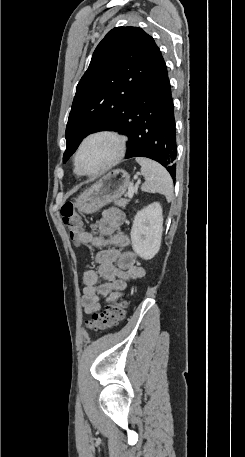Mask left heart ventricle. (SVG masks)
<instances>
[{
  "mask_svg": "<svg viewBox=\"0 0 245 457\" xmlns=\"http://www.w3.org/2000/svg\"><path fill=\"white\" fill-rule=\"evenodd\" d=\"M115 141L101 136L90 139L81 154L80 163L87 172H95L104 167L114 155Z\"/></svg>",
  "mask_w": 245,
  "mask_h": 457,
  "instance_id": "left-heart-ventricle-1",
  "label": "left heart ventricle"
}]
</instances>
